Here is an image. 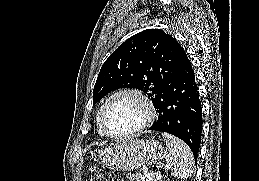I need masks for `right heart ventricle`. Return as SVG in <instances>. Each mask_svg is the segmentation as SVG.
I'll return each instance as SVG.
<instances>
[{"instance_id":"e07e8e85","label":"right heart ventricle","mask_w":259,"mask_h":181,"mask_svg":"<svg viewBox=\"0 0 259 181\" xmlns=\"http://www.w3.org/2000/svg\"><path fill=\"white\" fill-rule=\"evenodd\" d=\"M100 112V110H99ZM99 112L97 113V128H98V132L100 135L105 136L106 134L104 133L103 129L100 126V122H99Z\"/></svg>"}]
</instances>
